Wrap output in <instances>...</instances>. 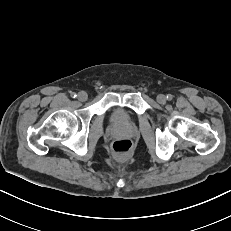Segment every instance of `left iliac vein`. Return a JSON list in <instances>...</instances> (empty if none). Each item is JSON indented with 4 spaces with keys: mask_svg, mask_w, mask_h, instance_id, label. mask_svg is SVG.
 I'll return each instance as SVG.
<instances>
[{
    "mask_svg": "<svg viewBox=\"0 0 231 231\" xmlns=\"http://www.w3.org/2000/svg\"><path fill=\"white\" fill-rule=\"evenodd\" d=\"M157 101H158L159 103H161V104L165 103V102H166V96L163 95V94H159V95L157 96Z\"/></svg>",
    "mask_w": 231,
    "mask_h": 231,
    "instance_id": "left-iliac-vein-1",
    "label": "left iliac vein"
}]
</instances>
